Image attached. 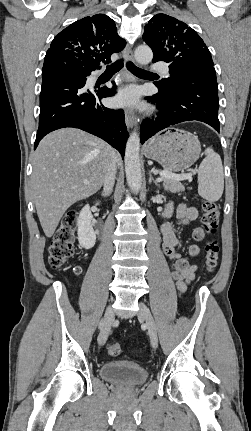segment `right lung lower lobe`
Segmentation results:
<instances>
[{"mask_svg":"<svg viewBox=\"0 0 251 431\" xmlns=\"http://www.w3.org/2000/svg\"><path fill=\"white\" fill-rule=\"evenodd\" d=\"M94 70L82 68V73L68 68L43 70L34 149L46 134L74 127L102 138L124 157L128 138L124 111L108 109L99 102L103 97L113 96L114 89L89 90L85 87L87 76Z\"/></svg>","mask_w":251,"mask_h":431,"instance_id":"right-lung-lower-lobe-1","label":"right lung lower lobe"}]
</instances>
